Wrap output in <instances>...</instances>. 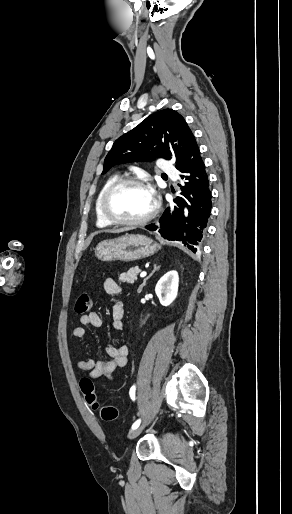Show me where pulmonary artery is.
<instances>
[{"mask_svg":"<svg viewBox=\"0 0 292 514\" xmlns=\"http://www.w3.org/2000/svg\"><path fill=\"white\" fill-rule=\"evenodd\" d=\"M158 168L161 172H168L171 168V165L168 161H161L158 165Z\"/></svg>","mask_w":292,"mask_h":514,"instance_id":"pulmonary-artery-1","label":"pulmonary artery"}]
</instances>
